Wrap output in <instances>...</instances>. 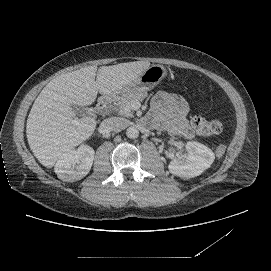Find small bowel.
<instances>
[{"label":"small bowel","instance_id":"small-bowel-1","mask_svg":"<svg viewBox=\"0 0 271 271\" xmlns=\"http://www.w3.org/2000/svg\"><path fill=\"white\" fill-rule=\"evenodd\" d=\"M152 108L164 129L186 139L193 137L194 131L187 120L190 106L184 98L176 94L159 92L153 98Z\"/></svg>","mask_w":271,"mask_h":271}]
</instances>
